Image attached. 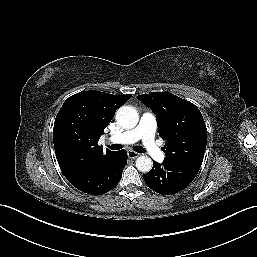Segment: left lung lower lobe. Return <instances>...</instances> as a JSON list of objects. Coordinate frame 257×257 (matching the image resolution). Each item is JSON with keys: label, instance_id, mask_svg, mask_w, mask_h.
Listing matches in <instances>:
<instances>
[{"label": "left lung lower lobe", "instance_id": "1", "mask_svg": "<svg viewBox=\"0 0 257 257\" xmlns=\"http://www.w3.org/2000/svg\"><path fill=\"white\" fill-rule=\"evenodd\" d=\"M199 170L185 164L153 161V168L143 175L146 184L153 191L170 195L185 189L195 178Z\"/></svg>", "mask_w": 257, "mask_h": 257}]
</instances>
